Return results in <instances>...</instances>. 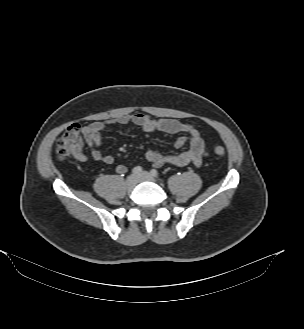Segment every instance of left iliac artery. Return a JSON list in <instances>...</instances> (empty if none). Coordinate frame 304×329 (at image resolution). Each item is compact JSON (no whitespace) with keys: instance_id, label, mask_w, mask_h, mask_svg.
Wrapping results in <instances>:
<instances>
[{"instance_id":"left-iliac-artery-1","label":"left iliac artery","mask_w":304,"mask_h":329,"mask_svg":"<svg viewBox=\"0 0 304 329\" xmlns=\"http://www.w3.org/2000/svg\"><path fill=\"white\" fill-rule=\"evenodd\" d=\"M150 173L154 177H158L159 176V173H158V171L156 169H152Z\"/></svg>"}]
</instances>
